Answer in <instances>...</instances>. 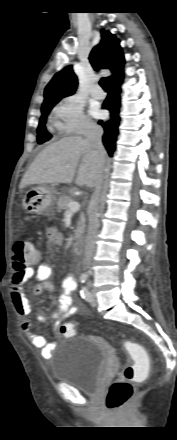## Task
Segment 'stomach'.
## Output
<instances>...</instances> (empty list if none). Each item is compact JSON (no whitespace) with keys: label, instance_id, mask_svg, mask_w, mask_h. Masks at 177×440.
<instances>
[{"label":"stomach","instance_id":"stomach-1","mask_svg":"<svg viewBox=\"0 0 177 440\" xmlns=\"http://www.w3.org/2000/svg\"><path fill=\"white\" fill-rule=\"evenodd\" d=\"M55 191L41 185L28 190L22 200V207L29 214L52 215L54 213Z\"/></svg>","mask_w":177,"mask_h":440}]
</instances>
